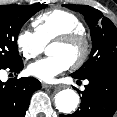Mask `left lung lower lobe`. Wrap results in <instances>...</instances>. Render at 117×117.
Here are the masks:
<instances>
[{
  "label": "left lung lower lobe",
  "mask_w": 117,
  "mask_h": 117,
  "mask_svg": "<svg viewBox=\"0 0 117 117\" xmlns=\"http://www.w3.org/2000/svg\"><path fill=\"white\" fill-rule=\"evenodd\" d=\"M84 79L89 84L81 92L80 108L71 115L61 114L60 117H112L117 110V63L107 65Z\"/></svg>",
  "instance_id": "0a47b994"
}]
</instances>
